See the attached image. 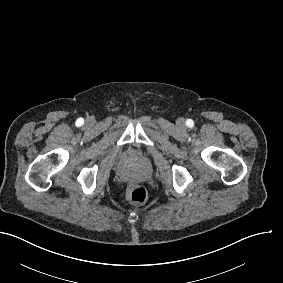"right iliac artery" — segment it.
<instances>
[{
	"label": "right iliac artery",
	"instance_id": "obj_1",
	"mask_svg": "<svg viewBox=\"0 0 283 283\" xmlns=\"http://www.w3.org/2000/svg\"><path fill=\"white\" fill-rule=\"evenodd\" d=\"M83 123H84V119H83V118H79V119H77V121H76V125H77V126H81Z\"/></svg>",
	"mask_w": 283,
	"mask_h": 283
}]
</instances>
